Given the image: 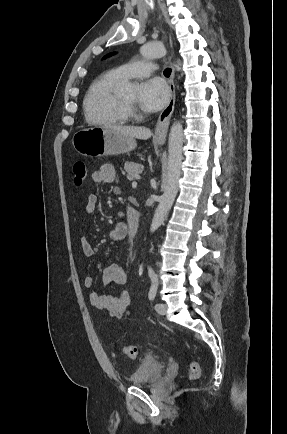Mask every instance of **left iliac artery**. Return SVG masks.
<instances>
[{
  "label": "left iliac artery",
  "instance_id": "1",
  "mask_svg": "<svg viewBox=\"0 0 287 434\" xmlns=\"http://www.w3.org/2000/svg\"><path fill=\"white\" fill-rule=\"evenodd\" d=\"M149 276H150V279L152 281V285H151V288L149 290L148 297L150 300L153 301L156 297V293H157V289H158V275L154 271H151V272H149Z\"/></svg>",
  "mask_w": 287,
  "mask_h": 434
}]
</instances>
